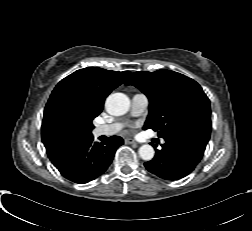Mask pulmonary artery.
<instances>
[{"mask_svg":"<svg viewBox=\"0 0 252 231\" xmlns=\"http://www.w3.org/2000/svg\"><path fill=\"white\" fill-rule=\"evenodd\" d=\"M148 106V98L143 93H136L131 100V114L133 116L141 115ZM122 128V124L114 122L111 124L97 125L94 129L96 136H111L118 133ZM164 141H162L163 143Z\"/></svg>","mask_w":252,"mask_h":231,"instance_id":"1","label":"pulmonary artery"}]
</instances>
